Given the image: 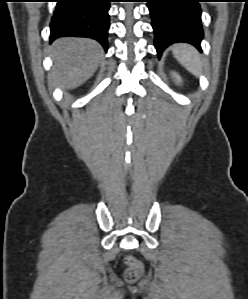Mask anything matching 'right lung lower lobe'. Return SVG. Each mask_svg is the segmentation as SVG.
Returning a JSON list of instances; mask_svg holds the SVG:
<instances>
[{
	"mask_svg": "<svg viewBox=\"0 0 248 299\" xmlns=\"http://www.w3.org/2000/svg\"><path fill=\"white\" fill-rule=\"evenodd\" d=\"M111 0H57L50 23V40L62 36L87 37L108 49Z\"/></svg>",
	"mask_w": 248,
	"mask_h": 299,
	"instance_id": "right-lung-lower-lobe-1",
	"label": "right lung lower lobe"
}]
</instances>
